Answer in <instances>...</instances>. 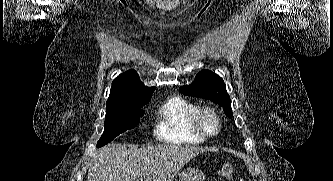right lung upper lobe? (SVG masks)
I'll use <instances>...</instances> for the list:
<instances>
[{
  "label": "right lung upper lobe",
  "mask_w": 333,
  "mask_h": 181,
  "mask_svg": "<svg viewBox=\"0 0 333 181\" xmlns=\"http://www.w3.org/2000/svg\"><path fill=\"white\" fill-rule=\"evenodd\" d=\"M154 90V87L145 86L133 70L120 74L112 83L106 111L146 104Z\"/></svg>",
  "instance_id": "1"
}]
</instances>
